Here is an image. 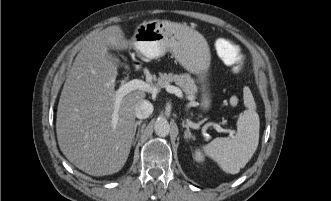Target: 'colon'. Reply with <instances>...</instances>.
Returning a JSON list of instances; mask_svg holds the SVG:
<instances>
[{
    "instance_id": "colon-1",
    "label": "colon",
    "mask_w": 331,
    "mask_h": 201,
    "mask_svg": "<svg viewBox=\"0 0 331 201\" xmlns=\"http://www.w3.org/2000/svg\"><path fill=\"white\" fill-rule=\"evenodd\" d=\"M217 52L222 61L230 66L234 72H239L244 63L240 48L228 39H221L217 43Z\"/></svg>"
}]
</instances>
